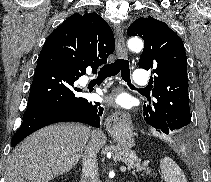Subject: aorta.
Wrapping results in <instances>:
<instances>
[{
    "label": "aorta",
    "mask_w": 211,
    "mask_h": 182,
    "mask_svg": "<svg viewBox=\"0 0 211 182\" xmlns=\"http://www.w3.org/2000/svg\"><path fill=\"white\" fill-rule=\"evenodd\" d=\"M127 45L134 52H140L143 49V41L137 37L129 39Z\"/></svg>",
    "instance_id": "762f6f07"
}]
</instances>
